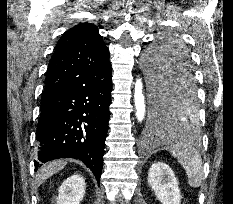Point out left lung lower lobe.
Wrapping results in <instances>:
<instances>
[{"instance_id":"0a47b994","label":"left lung lower lobe","mask_w":233,"mask_h":204,"mask_svg":"<svg viewBox=\"0 0 233 204\" xmlns=\"http://www.w3.org/2000/svg\"><path fill=\"white\" fill-rule=\"evenodd\" d=\"M168 59L172 61V70L161 81V87L157 90L158 96L151 104L149 141L154 140L157 134L167 133L164 131L168 120L167 110L173 101L184 94L197 96L194 73L188 56L178 52L171 54ZM163 107L165 108L163 109Z\"/></svg>"}]
</instances>
